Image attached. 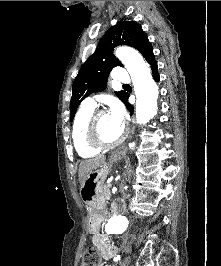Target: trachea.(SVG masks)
<instances>
[{
  "label": "trachea",
  "mask_w": 221,
  "mask_h": 266,
  "mask_svg": "<svg viewBox=\"0 0 221 266\" xmlns=\"http://www.w3.org/2000/svg\"><path fill=\"white\" fill-rule=\"evenodd\" d=\"M123 86H129V85L125 84V85H123Z\"/></svg>",
  "instance_id": "obj_1"
}]
</instances>
